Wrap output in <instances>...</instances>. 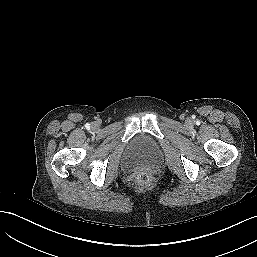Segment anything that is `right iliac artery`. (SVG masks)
Masks as SVG:
<instances>
[{
    "instance_id": "82829eb1",
    "label": "right iliac artery",
    "mask_w": 257,
    "mask_h": 257,
    "mask_svg": "<svg viewBox=\"0 0 257 257\" xmlns=\"http://www.w3.org/2000/svg\"><path fill=\"white\" fill-rule=\"evenodd\" d=\"M85 127H86V128H89L90 126H89V124H86Z\"/></svg>"
}]
</instances>
